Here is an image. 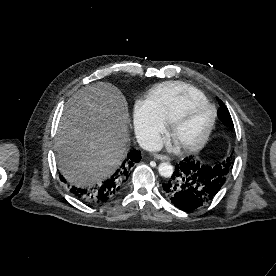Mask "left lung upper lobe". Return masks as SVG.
Returning a JSON list of instances; mask_svg holds the SVG:
<instances>
[{
  "label": "left lung upper lobe",
  "mask_w": 276,
  "mask_h": 276,
  "mask_svg": "<svg viewBox=\"0 0 276 276\" xmlns=\"http://www.w3.org/2000/svg\"><path fill=\"white\" fill-rule=\"evenodd\" d=\"M220 104V108L218 110V117L219 119L223 122L224 125L232 128L233 127V122L230 116V113L227 109V107L224 105V103L222 101H219ZM216 168H224L227 171L226 174V179L229 175L230 169H231V160L230 158H227L226 160H224L223 162H220L216 165H214Z\"/></svg>",
  "instance_id": "left-lung-upper-lobe-1"
}]
</instances>
